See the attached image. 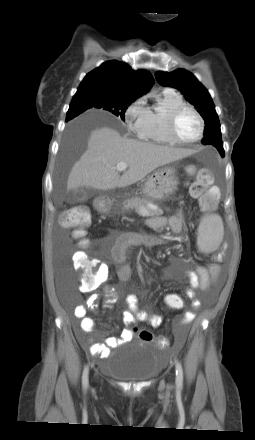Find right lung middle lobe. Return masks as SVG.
<instances>
[{
  "mask_svg": "<svg viewBox=\"0 0 255 440\" xmlns=\"http://www.w3.org/2000/svg\"><path fill=\"white\" fill-rule=\"evenodd\" d=\"M132 102L131 100L107 97L91 92L75 94L70 103L66 118H74L87 109L98 108L109 111L124 120V113Z\"/></svg>",
  "mask_w": 255,
  "mask_h": 440,
  "instance_id": "right-lung-middle-lobe-1",
  "label": "right lung middle lobe"
}]
</instances>
